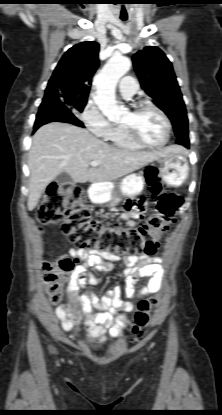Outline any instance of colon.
Instances as JSON below:
<instances>
[{
	"label": "colon",
	"instance_id": "1",
	"mask_svg": "<svg viewBox=\"0 0 222 415\" xmlns=\"http://www.w3.org/2000/svg\"><path fill=\"white\" fill-rule=\"evenodd\" d=\"M145 175L156 206L155 213L139 226L114 228L93 220L83 201L82 189L65 182H53L47 187L37 210V219L45 225L59 224L69 241L81 250L127 256L152 255L168 230L173 215L181 204V198L163 188L153 169H147ZM137 207L147 210L148 201L140 200ZM73 266L74 261L65 258L61 260L59 269L67 272ZM44 268L52 270L48 264ZM58 280L59 274L52 271L45 277L53 293L57 290ZM56 300L57 295H54L53 301ZM154 303V300L139 302L132 327L133 336L144 335Z\"/></svg>",
	"mask_w": 222,
	"mask_h": 415
}]
</instances>
